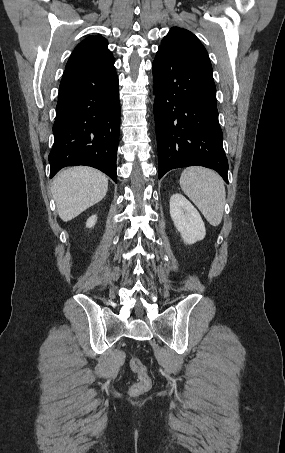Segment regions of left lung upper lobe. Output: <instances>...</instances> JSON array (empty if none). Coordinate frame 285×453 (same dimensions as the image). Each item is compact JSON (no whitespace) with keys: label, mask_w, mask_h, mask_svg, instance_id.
Listing matches in <instances>:
<instances>
[{"label":"left lung upper lobe","mask_w":285,"mask_h":453,"mask_svg":"<svg viewBox=\"0 0 285 453\" xmlns=\"http://www.w3.org/2000/svg\"><path fill=\"white\" fill-rule=\"evenodd\" d=\"M158 49L180 56L212 73L211 62L205 47L193 33L186 29L171 28Z\"/></svg>","instance_id":"5c2ea615"}]
</instances>
